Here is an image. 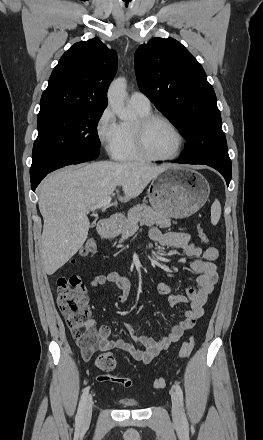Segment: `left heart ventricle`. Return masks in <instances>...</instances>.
<instances>
[{
  "label": "left heart ventricle",
  "mask_w": 263,
  "mask_h": 440,
  "mask_svg": "<svg viewBox=\"0 0 263 440\" xmlns=\"http://www.w3.org/2000/svg\"><path fill=\"white\" fill-rule=\"evenodd\" d=\"M145 140L150 153L156 156L172 155L178 146L175 132L162 121H157L147 128Z\"/></svg>",
  "instance_id": "1"
}]
</instances>
